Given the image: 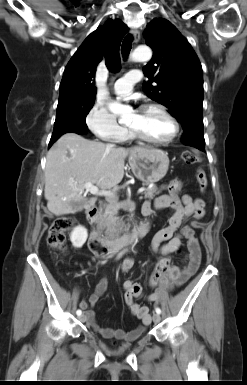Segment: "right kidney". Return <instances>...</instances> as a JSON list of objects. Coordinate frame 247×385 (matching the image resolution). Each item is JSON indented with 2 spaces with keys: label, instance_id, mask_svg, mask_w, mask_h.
<instances>
[{
  "label": "right kidney",
  "instance_id": "1",
  "mask_svg": "<svg viewBox=\"0 0 247 385\" xmlns=\"http://www.w3.org/2000/svg\"><path fill=\"white\" fill-rule=\"evenodd\" d=\"M87 237L88 233L86 228L78 226L72 231L70 240L75 248H81L86 242Z\"/></svg>",
  "mask_w": 247,
  "mask_h": 385
}]
</instances>
